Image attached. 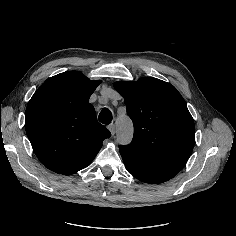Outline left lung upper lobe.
I'll return each mask as SVG.
<instances>
[{"label":"left lung upper lobe","mask_w":236,"mask_h":236,"mask_svg":"<svg viewBox=\"0 0 236 236\" xmlns=\"http://www.w3.org/2000/svg\"><path fill=\"white\" fill-rule=\"evenodd\" d=\"M114 88L134 124L132 142L119 146L127 170L147 183L173 178L195 142L194 121L183 97L173 85L152 77L115 82Z\"/></svg>","instance_id":"left-lung-upper-lobe-1"}]
</instances>
